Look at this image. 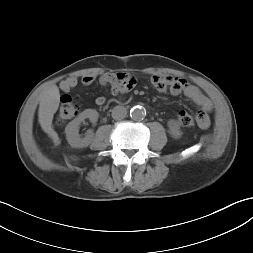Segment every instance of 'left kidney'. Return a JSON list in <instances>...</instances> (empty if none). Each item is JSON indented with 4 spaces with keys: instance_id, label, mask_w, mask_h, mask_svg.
Returning a JSON list of instances; mask_svg holds the SVG:
<instances>
[{
    "instance_id": "obj_1",
    "label": "left kidney",
    "mask_w": 253,
    "mask_h": 253,
    "mask_svg": "<svg viewBox=\"0 0 253 253\" xmlns=\"http://www.w3.org/2000/svg\"><path fill=\"white\" fill-rule=\"evenodd\" d=\"M168 127L170 130V134L174 137V138H180L182 135V132L180 130V127L178 125V123L175 120H170L168 122Z\"/></svg>"
}]
</instances>
